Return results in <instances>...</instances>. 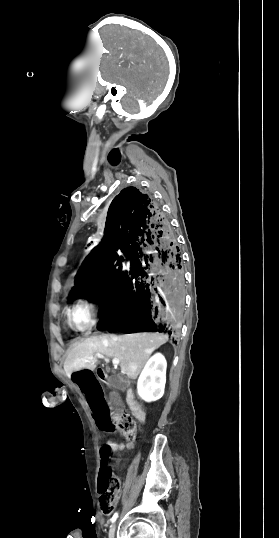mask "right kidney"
Returning a JSON list of instances; mask_svg holds the SVG:
<instances>
[{
	"mask_svg": "<svg viewBox=\"0 0 279 538\" xmlns=\"http://www.w3.org/2000/svg\"><path fill=\"white\" fill-rule=\"evenodd\" d=\"M167 362L162 354H155L148 360L138 380V394L145 402L160 400L166 384Z\"/></svg>",
	"mask_w": 279,
	"mask_h": 538,
	"instance_id": "1",
	"label": "right kidney"
}]
</instances>
